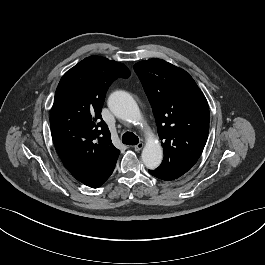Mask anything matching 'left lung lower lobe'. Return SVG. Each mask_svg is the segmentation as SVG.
Instances as JSON below:
<instances>
[{"label": "left lung lower lobe", "mask_w": 265, "mask_h": 265, "mask_svg": "<svg viewBox=\"0 0 265 265\" xmlns=\"http://www.w3.org/2000/svg\"><path fill=\"white\" fill-rule=\"evenodd\" d=\"M149 173H150L151 175H153V176L159 178V179L167 180V179H165L163 176H161L160 174H158V173L156 172V170H149Z\"/></svg>", "instance_id": "obj_1"}]
</instances>
